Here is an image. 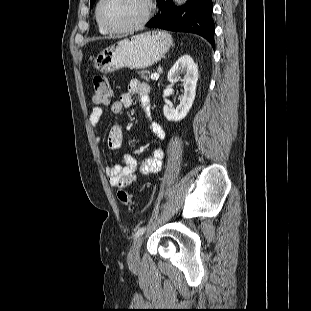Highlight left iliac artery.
I'll list each match as a JSON object with an SVG mask.
<instances>
[{"instance_id":"left-iliac-artery-1","label":"left iliac artery","mask_w":311,"mask_h":311,"mask_svg":"<svg viewBox=\"0 0 311 311\" xmlns=\"http://www.w3.org/2000/svg\"><path fill=\"white\" fill-rule=\"evenodd\" d=\"M145 230H146V227H141V228H139V229L136 231V233H135V235H134V238L137 239L138 237H140V236L145 232Z\"/></svg>"}]
</instances>
